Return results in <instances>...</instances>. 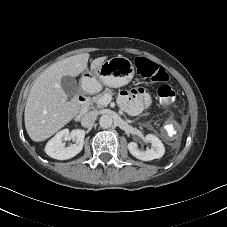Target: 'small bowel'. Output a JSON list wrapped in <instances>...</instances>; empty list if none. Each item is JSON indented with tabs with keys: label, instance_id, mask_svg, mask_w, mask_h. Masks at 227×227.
Returning a JSON list of instances; mask_svg holds the SVG:
<instances>
[{
	"label": "small bowel",
	"instance_id": "c3829d8e",
	"mask_svg": "<svg viewBox=\"0 0 227 227\" xmlns=\"http://www.w3.org/2000/svg\"><path fill=\"white\" fill-rule=\"evenodd\" d=\"M119 104L123 107L129 114L137 115L144 107L149 106V96L143 89H138L135 91H122L119 94Z\"/></svg>",
	"mask_w": 227,
	"mask_h": 227
}]
</instances>
